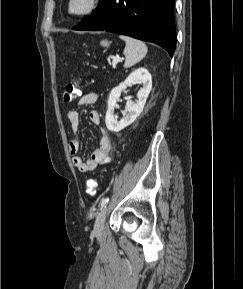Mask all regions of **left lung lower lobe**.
Masks as SVG:
<instances>
[{
  "label": "left lung lower lobe",
  "instance_id": "left-lung-lower-lobe-1",
  "mask_svg": "<svg viewBox=\"0 0 243 289\" xmlns=\"http://www.w3.org/2000/svg\"><path fill=\"white\" fill-rule=\"evenodd\" d=\"M175 0H100L97 9L74 30L131 36L160 45L173 56L176 47Z\"/></svg>",
  "mask_w": 243,
  "mask_h": 289
}]
</instances>
